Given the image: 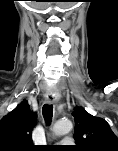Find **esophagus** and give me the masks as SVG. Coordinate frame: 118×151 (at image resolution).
<instances>
[{
    "instance_id": "esophagus-1",
    "label": "esophagus",
    "mask_w": 118,
    "mask_h": 151,
    "mask_svg": "<svg viewBox=\"0 0 118 151\" xmlns=\"http://www.w3.org/2000/svg\"><path fill=\"white\" fill-rule=\"evenodd\" d=\"M56 98H57V94H56L55 90L51 89V90L47 91V93L45 95L46 103L51 104L56 101Z\"/></svg>"
}]
</instances>
